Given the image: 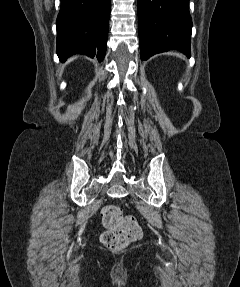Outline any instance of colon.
Segmentation results:
<instances>
[{
  "label": "colon",
  "instance_id": "5ec220e1",
  "mask_svg": "<svg viewBox=\"0 0 240 287\" xmlns=\"http://www.w3.org/2000/svg\"><path fill=\"white\" fill-rule=\"evenodd\" d=\"M102 222L106 230L101 235V242L112 251L123 250L142 235L136 219L133 216H125L116 205H108L102 209Z\"/></svg>",
  "mask_w": 240,
  "mask_h": 287
}]
</instances>
